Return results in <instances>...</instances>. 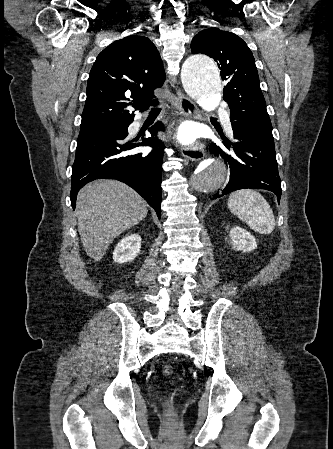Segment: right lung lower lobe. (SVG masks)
<instances>
[{"label":"right lung lower lobe","mask_w":333,"mask_h":449,"mask_svg":"<svg viewBox=\"0 0 333 449\" xmlns=\"http://www.w3.org/2000/svg\"><path fill=\"white\" fill-rule=\"evenodd\" d=\"M133 118L116 128L80 133L72 166L71 205L75 209L78 191L95 179H116L136 190L161 218L162 141L156 138L163 124L157 122L148 129L152 137L135 144L127 139ZM150 146L148 154L134 148Z\"/></svg>","instance_id":"right-lung-lower-lobe-1"}]
</instances>
